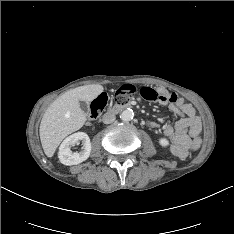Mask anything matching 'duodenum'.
<instances>
[{
  "label": "duodenum",
  "mask_w": 234,
  "mask_h": 234,
  "mask_svg": "<svg viewBox=\"0 0 234 234\" xmlns=\"http://www.w3.org/2000/svg\"><path fill=\"white\" fill-rule=\"evenodd\" d=\"M133 106V103L131 102H126V103H115L110 109L109 112L113 113V114H117L120 111L126 109V108H130Z\"/></svg>",
  "instance_id": "1"
}]
</instances>
